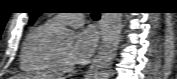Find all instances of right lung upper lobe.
<instances>
[{
	"label": "right lung upper lobe",
	"mask_w": 177,
	"mask_h": 79,
	"mask_svg": "<svg viewBox=\"0 0 177 79\" xmlns=\"http://www.w3.org/2000/svg\"><path fill=\"white\" fill-rule=\"evenodd\" d=\"M40 12H33L30 17L29 24L32 25L36 18L40 15Z\"/></svg>",
	"instance_id": "1"
}]
</instances>
